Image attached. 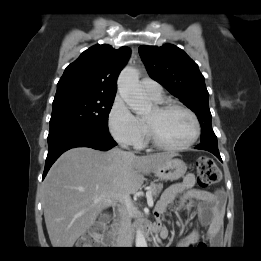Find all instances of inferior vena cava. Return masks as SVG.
<instances>
[{
    "instance_id": "inferior-vena-cava-1",
    "label": "inferior vena cava",
    "mask_w": 261,
    "mask_h": 261,
    "mask_svg": "<svg viewBox=\"0 0 261 261\" xmlns=\"http://www.w3.org/2000/svg\"><path fill=\"white\" fill-rule=\"evenodd\" d=\"M129 198L126 200L128 202ZM118 206V217L120 219V233L117 244L119 247H131L130 216L123 201Z\"/></svg>"
}]
</instances>
